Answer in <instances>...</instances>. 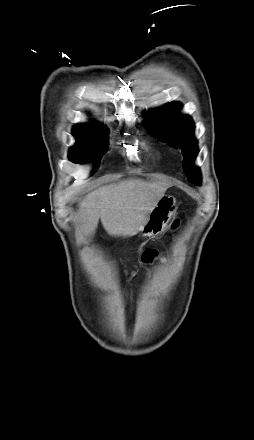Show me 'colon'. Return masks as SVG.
<instances>
[{
  "label": "colon",
  "mask_w": 254,
  "mask_h": 440,
  "mask_svg": "<svg viewBox=\"0 0 254 440\" xmlns=\"http://www.w3.org/2000/svg\"><path fill=\"white\" fill-rule=\"evenodd\" d=\"M177 225H178V222H175L173 224V227H176ZM157 255H158V252L155 249L148 248V249L144 250L142 253V262L144 264H149L157 257Z\"/></svg>",
  "instance_id": "colon-1"
}]
</instances>
